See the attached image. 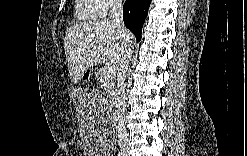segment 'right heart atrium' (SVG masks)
I'll use <instances>...</instances> for the list:
<instances>
[{
  "label": "right heart atrium",
  "mask_w": 247,
  "mask_h": 156,
  "mask_svg": "<svg viewBox=\"0 0 247 156\" xmlns=\"http://www.w3.org/2000/svg\"><path fill=\"white\" fill-rule=\"evenodd\" d=\"M97 2L100 7L99 11L102 15L108 13L109 11H111L119 5V2L116 0H101Z\"/></svg>",
  "instance_id": "right-heart-atrium-1"
}]
</instances>
